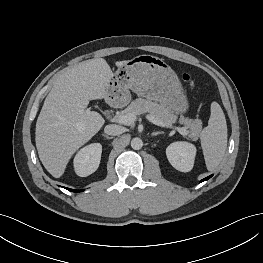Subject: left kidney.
<instances>
[{"instance_id":"5707ae66","label":"left kidney","mask_w":263,"mask_h":263,"mask_svg":"<svg viewBox=\"0 0 263 263\" xmlns=\"http://www.w3.org/2000/svg\"><path fill=\"white\" fill-rule=\"evenodd\" d=\"M166 155L175 169L181 172H189L194 165L196 147L185 141L174 142L167 147Z\"/></svg>"}]
</instances>
